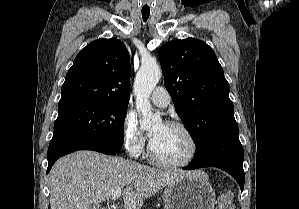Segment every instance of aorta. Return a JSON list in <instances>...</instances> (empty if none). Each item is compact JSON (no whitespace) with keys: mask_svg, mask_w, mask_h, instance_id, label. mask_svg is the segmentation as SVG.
<instances>
[{"mask_svg":"<svg viewBox=\"0 0 299 209\" xmlns=\"http://www.w3.org/2000/svg\"><path fill=\"white\" fill-rule=\"evenodd\" d=\"M161 69L154 62L143 63L136 75L134 93L136 108L141 113L140 125L149 129L161 122L159 115L152 113L149 96L161 78Z\"/></svg>","mask_w":299,"mask_h":209,"instance_id":"obj_1","label":"aorta"}]
</instances>
